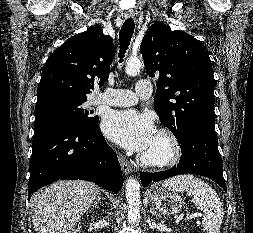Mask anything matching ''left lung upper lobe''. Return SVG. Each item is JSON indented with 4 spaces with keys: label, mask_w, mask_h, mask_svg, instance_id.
I'll return each instance as SVG.
<instances>
[{
    "label": "left lung upper lobe",
    "mask_w": 253,
    "mask_h": 233,
    "mask_svg": "<svg viewBox=\"0 0 253 233\" xmlns=\"http://www.w3.org/2000/svg\"><path fill=\"white\" fill-rule=\"evenodd\" d=\"M140 52L149 76L159 79L155 111L178 141L199 122L215 124L214 75L202 42L155 22L147 29Z\"/></svg>",
    "instance_id": "5c2ea615"
}]
</instances>
